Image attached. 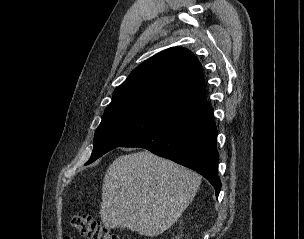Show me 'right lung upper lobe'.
Wrapping results in <instances>:
<instances>
[{
    "label": "right lung upper lobe",
    "mask_w": 304,
    "mask_h": 239,
    "mask_svg": "<svg viewBox=\"0 0 304 239\" xmlns=\"http://www.w3.org/2000/svg\"><path fill=\"white\" fill-rule=\"evenodd\" d=\"M206 102L200 62L188 49L172 47L134 69L105 113L140 109L173 119Z\"/></svg>",
    "instance_id": "right-lung-upper-lobe-1"
}]
</instances>
